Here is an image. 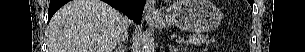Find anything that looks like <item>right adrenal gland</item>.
<instances>
[{"label": "right adrenal gland", "mask_w": 305, "mask_h": 52, "mask_svg": "<svg viewBox=\"0 0 305 52\" xmlns=\"http://www.w3.org/2000/svg\"><path fill=\"white\" fill-rule=\"evenodd\" d=\"M126 47L123 44H119L118 47L115 49V52H125Z\"/></svg>", "instance_id": "1"}]
</instances>
